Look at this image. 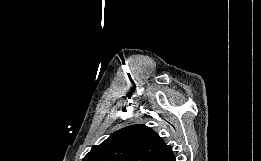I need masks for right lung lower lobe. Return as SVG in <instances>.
<instances>
[{
  "mask_svg": "<svg viewBox=\"0 0 261 161\" xmlns=\"http://www.w3.org/2000/svg\"><path fill=\"white\" fill-rule=\"evenodd\" d=\"M166 161H175L174 155L172 157L168 158Z\"/></svg>",
  "mask_w": 261,
  "mask_h": 161,
  "instance_id": "1",
  "label": "right lung lower lobe"
}]
</instances>
